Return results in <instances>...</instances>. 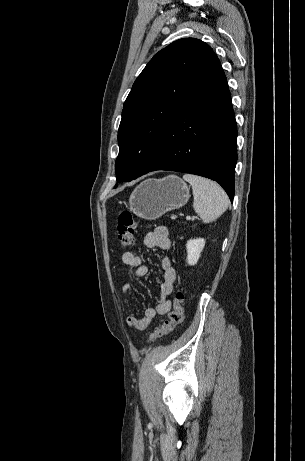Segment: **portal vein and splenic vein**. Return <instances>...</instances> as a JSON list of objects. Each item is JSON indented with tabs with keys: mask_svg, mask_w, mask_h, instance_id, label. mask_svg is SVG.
<instances>
[{
	"mask_svg": "<svg viewBox=\"0 0 305 461\" xmlns=\"http://www.w3.org/2000/svg\"><path fill=\"white\" fill-rule=\"evenodd\" d=\"M190 219H191V217H190V216H186V220H190Z\"/></svg>",
	"mask_w": 305,
	"mask_h": 461,
	"instance_id": "1",
	"label": "portal vein and splenic vein"
}]
</instances>
